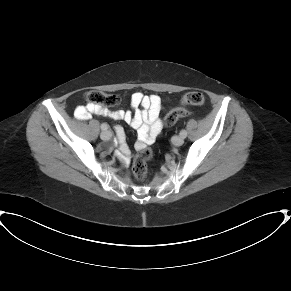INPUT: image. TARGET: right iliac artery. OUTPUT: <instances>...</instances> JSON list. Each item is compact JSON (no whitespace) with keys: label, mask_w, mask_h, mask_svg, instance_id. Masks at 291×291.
<instances>
[{"label":"right iliac artery","mask_w":291,"mask_h":291,"mask_svg":"<svg viewBox=\"0 0 291 291\" xmlns=\"http://www.w3.org/2000/svg\"><path fill=\"white\" fill-rule=\"evenodd\" d=\"M101 129L105 131V130L108 129V126H107L105 123H103V124L101 125Z\"/></svg>","instance_id":"right-iliac-artery-1"}]
</instances>
